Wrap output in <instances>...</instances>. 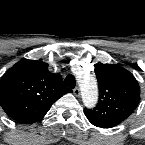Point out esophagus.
Here are the masks:
<instances>
[{
    "label": "esophagus",
    "instance_id": "34e87169",
    "mask_svg": "<svg viewBox=\"0 0 145 145\" xmlns=\"http://www.w3.org/2000/svg\"><path fill=\"white\" fill-rule=\"evenodd\" d=\"M73 93L75 96L79 97L81 92H80V89L78 87H76L74 90H73Z\"/></svg>",
    "mask_w": 145,
    "mask_h": 145
}]
</instances>
